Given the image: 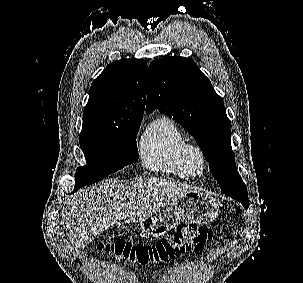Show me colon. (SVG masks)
<instances>
[{
    "label": "colon",
    "instance_id": "colon-1",
    "mask_svg": "<svg viewBox=\"0 0 303 283\" xmlns=\"http://www.w3.org/2000/svg\"><path fill=\"white\" fill-rule=\"evenodd\" d=\"M212 237L206 226L181 225L167 238L150 244H133L125 241H105L96 250L112 257L117 263L140 266L167 263L187 252H203Z\"/></svg>",
    "mask_w": 303,
    "mask_h": 283
}]
</instances>
